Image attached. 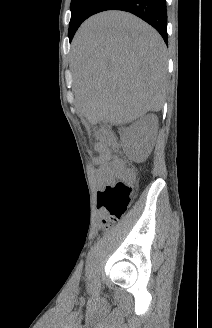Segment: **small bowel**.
<instances>
[{"instance_id": "small-bowel-1", "label": "small bowel", "mask_w": 212, "mask_h": 328, "mask_svg": "<svg viewBox=\"0 0 212 328\" xmlns=\"http://www.w3.org/2000/svg\"><path fill=\"white\" fill-rule=\"evenodd\" d=\"M98 155L94 161L98 166L97 173L104 180H110L114 176H122L123 164L120 158L103 144H96Z\"/></svg>"}]
</instances>
